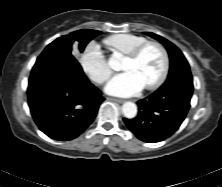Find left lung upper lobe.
I'll return each instance as SVG.
<instances>
[{
	"instance_id": "left-lung-upper-lobe-1",
	"label": "left lung upper lobe",
	"mask_w": 222,
	"mask_h": 187,
	"mask_svg": "<svg viewBox=\"0 0 222 187\" xmlns=\"http://www.w3.org/2000/svg\"><path fill=\"white\" fill-rule=\"evenodd\" d=\"M145 34L161 42L168 51L170 58V69L168 78L164 84L178 80L183 74H191L190 66L179 48L159 35L151 32H145Z\"/></svg>"
}]
</instances>
